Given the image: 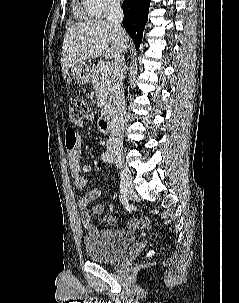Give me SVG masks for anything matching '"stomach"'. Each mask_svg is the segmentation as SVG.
Wrapping results in <instances>:
<instances>
[{"label": "stomach", "mask_w": 239, "mask_h": 303, "mask_svg": "<svg viewBox=\"0 0 239 303\" xmlns=\"http://www.w3.org/2000/svg\"><path fill=\"white\" fill-rule=\"evenodd\" d=\"M71 76L82 84L91 81L90 68L87 63L82 62L71 67Z\"/></svg>", "instance_id": "stomach-1"}]
</instances>
